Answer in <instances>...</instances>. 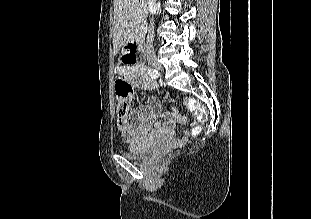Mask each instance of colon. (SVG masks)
Segmentation results:
<instances>
[{
  "label": "colon",
  "mask_w": 311,
  "mask_h": 219,
  "mask_svg": "<svg viewBox=\"0 0 311 219\" xmlns=\"http://www.w3.org/2000/svg\"><path fill=\"white\" fill-rule=\"evenodd\" d=\"M128 51V49H127ZM128 64H135L136 59L135 55L130 54L128 51L127 60ZM115 88H116V96H117V112L118 116L122 117L125 116L128 107H129V100L132 94V86L128 82L125 75H121L115 81ZM186 107L189 111L192 112L194 117L199 121L203 122L207 118L206 110L196 101V100H187ZM199 131V127H195L193 133H197Z\"/></svg>",
  "instance_id": "1"
}]
</instances>
